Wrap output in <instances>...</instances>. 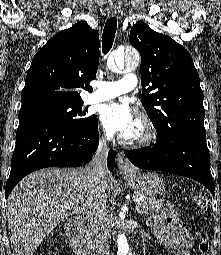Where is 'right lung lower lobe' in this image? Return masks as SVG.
<instances>
[{
	"label": "right lung lower lobe",
	"instance_id": "1",
	"mask_svg": "<svg viewBox=\"0 0 221 255\" xmlns=\"http://www.w3.org/2000/svg\"><path fill=\"white\" fill-rule=\"evenodd\" d=\"M99 144L97 117L84 129H69L56 123L23 119L19 121L16 146L5 197L27 174L46 167H78L88 163ZM115 152L108 153V169L113 170Z\"/></svg>",
	"mask_w": 221,
	"mask_h": 255
}]
</instances>
